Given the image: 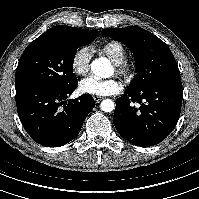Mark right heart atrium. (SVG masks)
Here are the masks:
<instances>
[{
	"label": "right heart atrium",
	"instance_id": "obj_1",
	"mask_svg": "<svg viewBox=\"0 0 199 199\" xmlns=\"http://www.w3.org/2000/svg\"><path fill=\"white\" fill-rule=\"evenodd\" d=\"M91 51L87 47H81L73 54L71 58L72 72L77 76H85L89 71Z\"/></svg>",
	"mask_w": 199,
	"mask_h": 199
}]
</instances>
